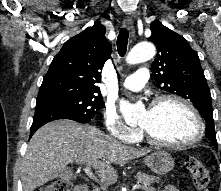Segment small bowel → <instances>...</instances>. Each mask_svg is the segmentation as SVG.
<instances>
[{"label": "small bowel", "instance_id": "c3829d8e", "mask_svg": "<svg viewBox=\"0 0 221 191\" xmlns=\"http://www.w3.org/2000/svg\"><path fill=\"white\" fill-rule=\"evenodd\" d=\"M148 191H157V190L151 188V189H149ZM161 191H179V190H178L177 188H175L174 186H172V185H167V186H165L164 189L161 190Z\"/></svg>", "mask_w": 221, "mask_h": 191}]
</instances>
